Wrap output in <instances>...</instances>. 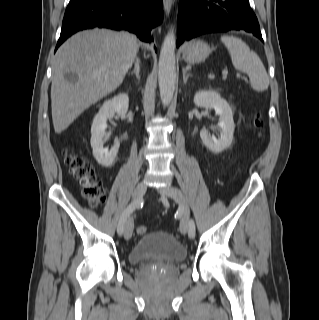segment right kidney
Listing matches in <instances>:
<instances>
[{
    "instance_id": "1",
    "label": "right kidney",
    "mask_w": 319,
    "mask_h": 320,
    "mask_svg": "<svg viewBox=\"0 0 319 320\" xmlns=\"http://www.w3.org/2000/svg\"><path fill=\"white\" fill-rule=\"evenodd\" d=\"M129 107V97L126 93H120L103 103L98 114L95 116L91 126V147L96 161L104 166L110 167L115 161L120 143L117 141L108 150L103 148V137L107 127V120L113 118L115 114L125 115Z\"/></svg>"
}]
</instances>
